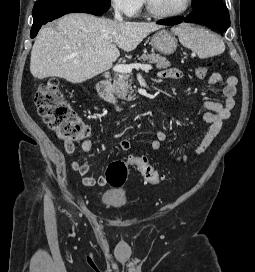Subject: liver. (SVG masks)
Instances as JSON below:
<instances>
[{
  "mask_svg": "<svg viewBox=\"0 0 255 272\" xmlns=\"http://www.w3.org/2000/svg\"><path fill=\"white\" fill-rule=\"evenodd\" d=\"M163 26L144 22H116L85 13L59 18L56 28L43 27L31 51L34 78H63L82 83L110 69L119 49L133 51L151 32Z\"/></svg>",
  "mask_w": 255,
  "mask_h": 272,
  "instance_id": "1",
  "label": "liver"
}]
</instances>
